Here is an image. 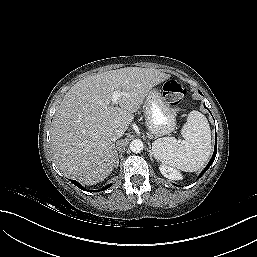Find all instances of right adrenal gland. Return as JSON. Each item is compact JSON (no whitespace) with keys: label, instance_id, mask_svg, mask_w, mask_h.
<instances>
[{"label":"right adrenal gland","instance_id":"right-adrenal-gland-1","mask_svg":"<svg viewBox=\"0 0 257 257\" xmlns=\"http://www.w3.org/2000/svg\"><path fill=\"white\" fill-rule=\"evenodd\" d=\"M115 153H116V158H117V160H116V167H117L119 165V158H118V153L116 150H115Z\"/></svg>","mask_w":257,"mask_h":257}]
</instances>
